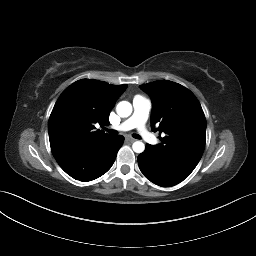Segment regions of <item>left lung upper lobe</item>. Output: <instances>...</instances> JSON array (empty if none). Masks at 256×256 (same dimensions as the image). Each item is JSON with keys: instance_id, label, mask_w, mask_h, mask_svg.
I'll return each instance as SVG.
<instances>
[{"instance_id": "5c2ea615", "label": "left lung upper lobe", "mask_w": 256, "mask_h": 256, "mask_svg": "<svg viewBox=\"0 0 256 256\" xmlns=\"http://www.w3.org/2000/svg\"><path fill=\"white\" fill-rule=\"evenodd\" d=\"M152 99L151 129L164 132L162 144L153 148L158 156L193 171L201 159L206 140V119L194 94L172 81L140 85Z\"/></svg>"}]
</instances>
